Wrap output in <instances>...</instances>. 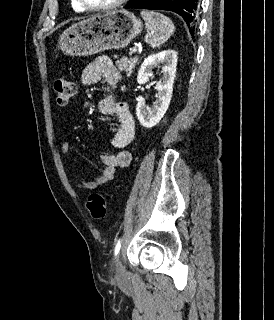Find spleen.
Instances as JSON below:
<instances>
[{"mask_svg": "<svg viewBox=\"0 0 274 320\" xmlns=\"http://www.w3.org/2000/svg\"><path fill=\"white\" fill-rule=\"evenodd\" d=\"M144 22H146V28L149 36V44L154 48V46H160L167 42L171 34H173L175 28L171 20L163 14H158V12H149V10H142L140 12Z\"/></svg>", "mask_w": 274, "mask_h": 320, "instance_id": "spleen-1", "label": "spleen"}]
</instances>
